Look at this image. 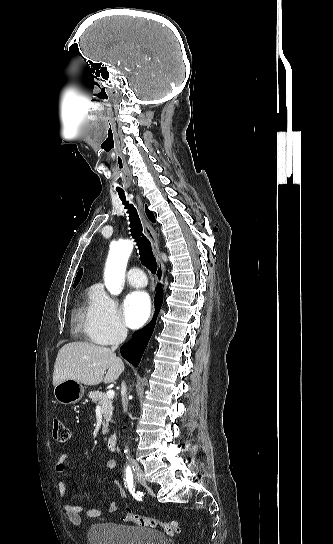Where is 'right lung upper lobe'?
Masks as SVG:
<instances>
[{"label":"right lung upper lobe","mask_w":333,"mask_h":544,"mask_svg":"<svg viewBox=\"0 0 333 544\" xmlns=\"http://www.w3.org/2000/svg\"><path fill=\"white\" fill-rule=\"evenodd\" d=\"M81 275H82V270H80L76 276V279H75V283H74V286L77 285V283L79 282L80 278H81Z\"/></svg>","instance_id":"obj_1"}]
</instances>
